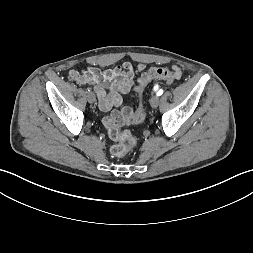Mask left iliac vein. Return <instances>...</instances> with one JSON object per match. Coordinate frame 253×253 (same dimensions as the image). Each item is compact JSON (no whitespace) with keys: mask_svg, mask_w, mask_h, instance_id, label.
I'll list each match as a JSON object with an SVG mask.
<instances>
[{"mask_svg":"<svg viewBox=\"0 0 253 253\" xmlns=\"http://www.w3.org/2000/svg\"><path fill=\"white\" fill-rule=\"evenodd\" d=\"M159 102H160V98L159 96H153L150 100V105L153 107V108H156L158 105H159Z\"/></svg>","mask_w":253,"mask_h":253,"instance_id":"obj_1","label":"left iliac vein"}]
</instances>
